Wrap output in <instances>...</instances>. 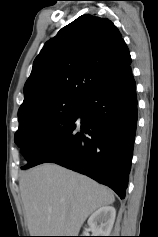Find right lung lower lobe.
<instances>
[{
    "label": "right lung lower lobe",
    "instance_id": "right-lung-lower-lobe-1",
    "mask_svg": "<svg viewBox=\"0 0 158 237\" xmlns=\"http://www.w3.org/2000/svg\"><path fill=\"white\" fill-rule=\"evenodd\" d=\"M136 124L137 97L129 66L94 89L23 169L56 163L107 185L125 198Z\"/></svg>",
    "mask_w": 158,
    "mask_h": 237
}]
</instances>
